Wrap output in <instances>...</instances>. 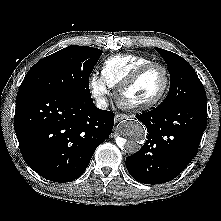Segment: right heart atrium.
Here are the masks:
<instances>
[{"label": "right heart atrium", "instance_id": "obj_1", "mask_svg": "<svg viewBox=\"0 0 221 221\" xmlns=\"http://www.w3.org/2000/svg\"><path fill=\"white\" fill-rule=\"evenodd\" d=\"M89 85L92 97L97 104L104 106L107 103V95L109 93V85L104 80L103 76L96 73L91 74Z\"/></svg>", "mask_w": 221, "mask_h": 221}]
</instances>
